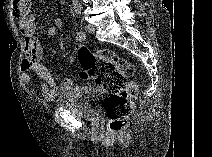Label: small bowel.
Wrapping results in <instances>:
<instances>
[{
  "label": "small bowel",
  "instance_id": "c3829d8e",
  "mask_svg": "<svg viewBox=\"0 0 212 157\" xmlns=\"http://www.w3.org/2000/svg\"><path fill=\"white\" fill-rule=\"evenodd\" d=\"M32 4V0H14L11 5V14L18 21L23 36V58L20 62L21 80L25 84H30V73H34L42 80L44 98L53 101L71 89L72 81L64 78L57 85L51 72L42 63L43 51L36 35L37 24L31 14ZM62 25V20L55 18L47 29V35L54 36Z\"/></svg>",
  "mask_w": 212,
  "mask_h": 157
}]
</instances>
